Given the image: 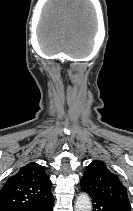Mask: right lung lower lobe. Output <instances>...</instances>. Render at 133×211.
Listing matches in <instances>:
<instances>
[{"label": "right lung lower lobe", "mask_w": 133, "mask_h": 211, "mask_svg": "<svg viewBox=\"0 0 133 211\" xmlns=\"http://www.w3.org/2000/svg\"><path fill=\"white\" fill-rule=\"evenodd\" d=\"M52 205H53V197L42 204L33 206L31 209H29V211H52Z\"/></svg>", "instance_id": "obj_1"}]
</instances>
